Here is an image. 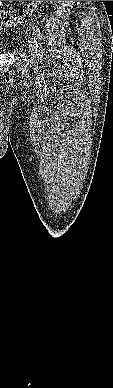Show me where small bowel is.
Here are the masks:
<instances>
[{
    "mask_svg": "<svg viewBox=\"0 0 113 388\" xmlns=\"http://www.w3.org/2000/svg\"><path fill=\"white\" fill-rule=\"evenodd\" d=\"M4 1H0V7H2L4 5Z\"/></svg>",
    "mask_w": 113,
    "mask_h": 388,
    "instance_id": "1",
    "label": "small bowel"
}]
</instances>
